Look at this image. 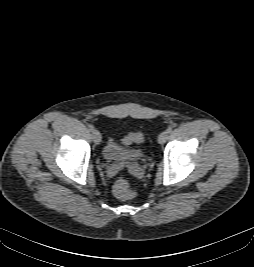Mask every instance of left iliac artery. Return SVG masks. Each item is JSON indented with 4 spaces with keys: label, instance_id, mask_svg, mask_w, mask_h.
I'll use <instances>...</instances> for the list:
<instances>
[{
    "label": "left iliac artery",
    "instance_id": "44dca946",
    "mask_svg": "<svg viewBox=\"0 0 254 267\" xmlns=\"http://www.w3.org/2000/svg\"><path fill=\"white\" fill-rule=\"evenodd\" d=\"M172 129H173L172 127H168L166 131H167L168 133H170V132H172Z\"/></svg>",
    "mask_w": 254,
    "mask_h": 267
}]
</instances>
